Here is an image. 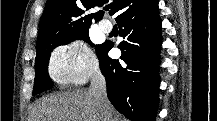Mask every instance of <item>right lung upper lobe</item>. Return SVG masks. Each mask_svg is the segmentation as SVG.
Here are the masks:
<instances>
[{
    "label": "right lung upper lobe",
    "mask_w": 217,
    "mask_h": 121,
    "mask_svg": "<svg viewBox=\"0 0 217 121\" xmlns=\"http://www.w3.org/2000/svg\"><path fill=\"white\" fill-rule=\"evenodd\" d=\"M105 0H47L42 14L37 45L62 39L72 33L89 28L92 19L99 21L103 11L88 14ZM131 5V0H114L111 12L120 15ZM118 17V16H117Z\"/></svg>",
    "instance_id": "1"
}]
</instances>
